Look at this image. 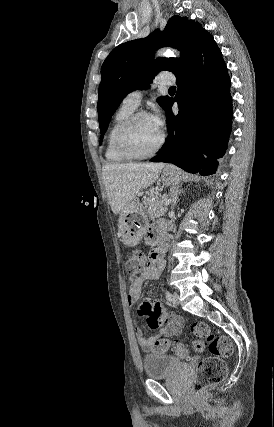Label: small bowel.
<instances>
[{
    "instance_id": "1",
    "label": "small bowel",
    "mask_w": 274,
    "mask_h": 427,
    "mask_svg": "<svg viewBox=\"0 0 274 427\" xmlns=\"http://www.w3.org/2000/svg\"><path fill=\"white\" fill-rule=\"evenodd\" d=\"M170 228L171 226L163 221L153 224L148 230L146 242L155 243ZM163 268L164 263L161 260L148 264L143 273L129 286L126 298L129 306H134L141 300L143 281L158 278ZM134 316L136 320H143L139 323H143L144 327H162L156 335L151 337H145L140 331H137V341L142 351L154 350L155 343L163 337L179 336L182 333L184 318L179 315L171 316L166 311V305L162 304L161 299H144L142 311H136Z\"/></svg>"
}]
</instances>
